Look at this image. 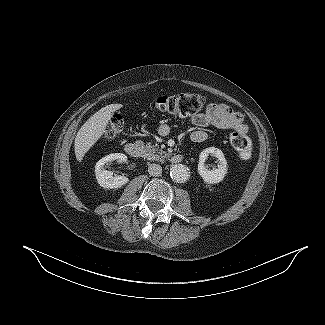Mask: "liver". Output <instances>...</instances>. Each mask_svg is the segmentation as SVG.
<instances>
[{
	"label": "liver",
	"instance_id": "6515ba94",
	"mask_svg": "<svg viewBox=\"0 0 325 325\" xmlns=\"http://www.w3.org/2000/svg\"><path fill=\"white\" fill-rule=\"evenodd\" d=\"M122 104H110L95 114H93L79 129L75 137V155L76 159L81 162L84 155L89 149L101 138L106 132L108 122L115 111L122 108Z\"/></svg>",
	"mask_w": 325,
	"mask_h": 325
}]
</instances>
